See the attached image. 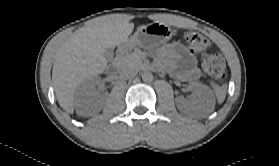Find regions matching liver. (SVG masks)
<instances>
[{
    "instance_id": "6515ba94",
    "label": "liver",
    "mask_w": 279,
    "mask_h": 166,
    "mask_svg": "<svg viewBox=\"0 0 279 166\" xmlns=\"http://www.w3.org/2000/svg\"><path fill=\"white\" fill-rule=\"evenodd\" d=\"M146 25L137 27V30ZM134 29L125 15H107L79 28L63 43L56 54L52 81L59 105L74 112V92L87 78L102 74L107 67L103 52L128 39Z\"/></svg>"
}]
</instances>
